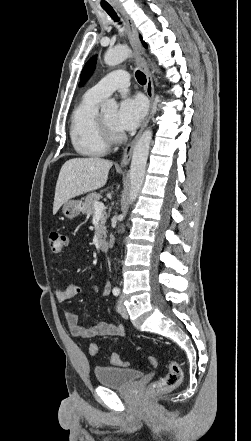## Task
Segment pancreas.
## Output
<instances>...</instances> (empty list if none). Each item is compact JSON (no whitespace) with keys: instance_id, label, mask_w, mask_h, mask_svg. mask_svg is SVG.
Segmentation results:
<instances>
[{"instance_id":"1","label":"pancreas","mask_w":251,"mask_h":441,"mask_svg":"<svg viewBox=\"0 0 251 441\" xmlns=\"http://www.w3.org/2000/svg\"><path fill=\"white\" fill-rule=\"evenodd\" d=\"M100 199V194L98 193H90L85 197V201L83 203V213L87 215V217H91L94 212V203L98 202ZM107 215L106 213H102L100 218L99 227L97 230L98 238H101L103 235H105V223H106Z\"/></svg>"}]
</instances>
